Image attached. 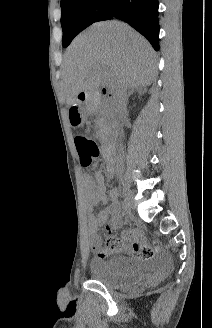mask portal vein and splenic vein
I'll return each mask as SVG.
<instances>
[{"label":"portal vein and splenic vein","mask_w":212,"mask_h":328,"mask_svg":"<svg viewBox=\"0 0 212 328\" xmlns=\"http://www.w3.org/2000/svg\"><path fill=\"white\" fill-rule=\"evenodd\" d=\"M102 68H104V69H105V66H103ZM102 68H101L100 70H102ZM105 74H106V75H109V73H108V72H106Z\"/></svg>","instance_id":"obj_1"}]
</instances>
